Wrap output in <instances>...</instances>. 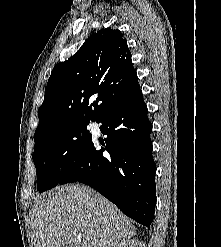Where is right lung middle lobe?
<instances>
[{
    "label": "right lung middle lobe",
    "instance_id": "dd1d6c3e",
    "mask_svg": "<svg viewBox=\"0 0 221 247\" xmlns=\"http://www.w3.org/2000/svg\"><path fill=\"white\" fill-rule=\"evenodd\" d=\"M89 121L69 122L34 138L33 162L37 173V190L47 191L59 184L92 139Z\"/></svg>",
    "mask_w": 221,
    "mask_h": 247
}]
</instances>
